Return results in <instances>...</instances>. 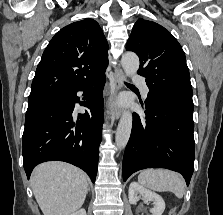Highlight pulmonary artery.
Returning <instances> with one entry per match:
<instances>
[{
  "label": "pulmonary artery",
  "instance_id": "pulmonary-artery-1",
  "mask_svg": "<svg viewBox=\"0 0 223 215\" xmlns=\"http://www.w3.org/2000/svg\"><path fill=\"white\" fill-rule=\"evenodd\" d=\"M133 82L136 87H139V93L141 94V98H150V90L148 89L146 78L141 77L140 73H133Z\"/></svg>",
  "mask_w": 223,
  "mask_h": 215
}]
</instances>
